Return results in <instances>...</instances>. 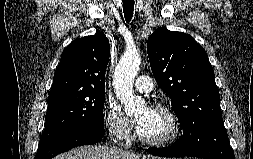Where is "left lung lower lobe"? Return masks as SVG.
Instances as JSON below:
<instances>
[{
  "instance_id": "left-lung-lower-lobe-1",
  "label": "left lung lower lobe",
  "mask_w": 253,
  "mask_h": 159,
  "mask_svg": "<svg viewBox=\"0 0 253 159\" xmlns=\"http://www.w3.org/2000/svg\"><path fill=\"white\" fill-rule=\"evenodd\" d=\"M161 157L193 156L204 159H235L230 147L223 118L211 120L190 132L169 147L149 148Z\"/></svg>"
}]
</instances>
